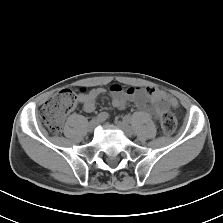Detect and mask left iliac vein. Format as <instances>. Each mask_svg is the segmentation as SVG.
Here are the masks:
<instances>
[{"mask_svg":"<svg viewBox=\"0 0 223 223\" xmlns=\"http://www.w3.org/2000/svg\"><path fill=\"white\" fill-rule=\"evenodd\" d=\"M117 126L119 129H121L124 134L127 136V137H132L133 134H134V131L132 129V127L128 124L127 121L123 120V121H119L117 122Z\"/></svg>","mask_w":223,"mask_h":223,"instance_id":"left-iliac-vein-1","label":"left iliac vein"}]
</instances>
